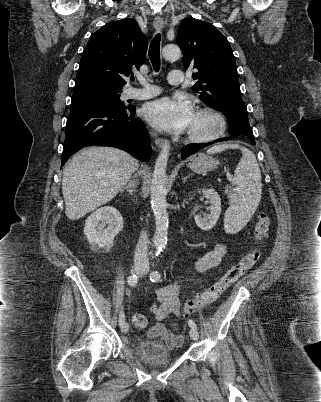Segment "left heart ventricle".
<instances>
[{
    "label": "left heart ventricle",
    "instance_id": "obj_1",
    "mask_svg": "<svg viewBox=\"0 0 321 402\" xmlns=\"http://www.w3.org/2000/svg\"><path fill=\"white\" fill-rule=\"evenodd\" d=\"M215 128L216 121L212 116L195 112L187 130L197 134H208Z\"/></svg>",
    "mask_w": 321,
    "mask_h": 402
}]
</instances>
